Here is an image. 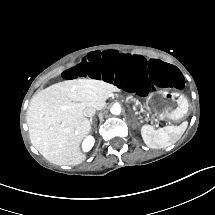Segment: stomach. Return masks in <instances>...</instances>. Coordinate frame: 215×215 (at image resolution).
<instances>
[{
    "label": "stomach",
    "instance_id": "obj_1",
    "mask_svg": "<svg viewBox=\"0 0 215 215\" xmlns=\"http://www.w3.org/2000/svg\"><path fill=\"white\" fill-rule=\"evenodd\" d=\"M145 107L151 115L159 119L180 121L187 116L189 104L180 93L160 90L148 97Z\"/></svg>",
    "mask_w": 215,
    "mask_h": 215
}]
</instances>
